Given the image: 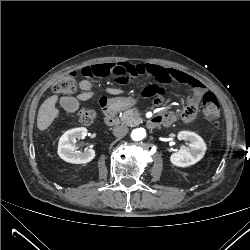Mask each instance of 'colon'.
Instances as JSON below:
<instances>
[{"mask_svg": "<svg viewBox=\"0 0 250 250\" xmlns=\"http://www.w3.org/2000/svg\"><path fill=\"white\" fill-rule=\"evenodd\" d=\"M148 71L145 66H133L128 64L99 65L90 67L85 75L94 80H109L121 83H128L139 75H144ZM159 82V78L156 77ZM82 80H77L72 74L68 75L56 86V91L61 94L75 95L78 85L83 84ZM159 89L156 88L153 94L157 96ZM203 112L208 121L209 132L213 137L220 135L222 123L219 111V104L214 95L206 93L203 96ZM83 121H92V115L87 110L82 111Z\"/></svg>", "mask_w": 250, "mask_h": 250, "instance_id": "1", "label": "colon"}]
</instances>
